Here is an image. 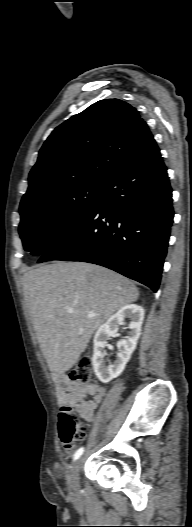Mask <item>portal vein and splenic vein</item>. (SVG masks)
<instances>
[{"mask_svg": "<svg viewBox=\"0 0 192 527\" xmlns=\"http://www.w3.org/2000/svg\"><path fill=\"white\" fill-rule=\"evenodd\" d=\"M67 312H68V313H72L73 310L69 308V309H67ZM87 317H88V318L95 317V314H89Z\"/></svg>", "mask_w": 192, "mask_h": 527, "instance_id": "obj_1", "label": "portal vein and splenic vein"}]
</instances>
